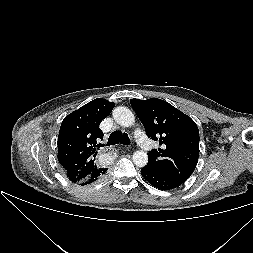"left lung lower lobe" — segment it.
Returning a JSON list of instances; mask_svg holds the SVG:
<instances>
[{"label":"left lung lower lobe","instance_id":"left-lung-lower-lobe-1","mask_svg":"<svg viewBox=\"0 0 253 253\" xmlns=\"http://www.w3.org/2000/svg\"><path fill=\"white\" fill-rule=\"evenodd\" d=\"M141 174L154 187L161 190H170L180 186L182 183L146 165L141 169Z\"/></svg>","mask_w":253,"mask_h":253}]
</instances>
